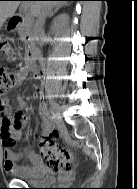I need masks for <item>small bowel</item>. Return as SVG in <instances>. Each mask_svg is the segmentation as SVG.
Listing matches in <instances>:
<instances>
[{"label":"small bowel","mask_w":137,"mask_h":189,"mask_svg":"<svg viewBox=\"0 0 137 189\" xmlns=\"http://www.w3.org/2000/svg\"><path fill=\"white\" fill-rule=\"evenodd\" d=\"M30 72L26 67L22 68L19 73L21 80L25 79ZM36 79H39L38 74H34ZM26 102L21 98H17V109L12 112L7 100L0 99V140L4 147V169L11 175L29 174L40 163V157L37 153L28 151L27 155L33 166L19 164L20 155L13 150V146L17 140L21 138V129L14 128V123L17 119L22 120V126L25 124L24 110Z\"/></svg>","instance_id":"obj_1"}]
</instances>
